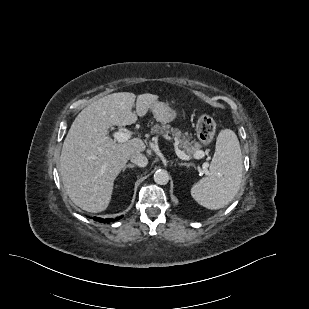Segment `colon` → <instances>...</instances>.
Returning a JSON list of instances; mask_svg holds the SVG:
<instances>
[{
    "mask_svg": "<svg viewBox=\"0 0 309 309\" xmlns=\"http://www.w3.org/2000/svg\"><path fill=\"white\" fill-rule=\"evenodd\" d=\"M216 123L214 119L207 115H201L197 122V136L201 144L208 145L215 134Z\"/></svg>",
    "mask_w": 309,
    "mask_h": 309,
    "instance_id": "5ec220e1",
    "label": "colon"
}]
</instances>
